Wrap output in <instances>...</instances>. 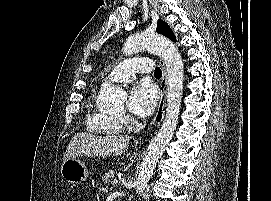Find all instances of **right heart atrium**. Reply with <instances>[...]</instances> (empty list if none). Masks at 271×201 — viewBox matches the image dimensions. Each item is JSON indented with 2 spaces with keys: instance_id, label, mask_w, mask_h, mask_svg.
Returning <instances> with one entry per match:
<instances>
[{
  "instance_id": "d8ad5b80",
  "label": "right heart atrium",
  "mask_w": 271,
  "mask_h": 201,
  "mask_svg": "<svg viewBox=\"0 0 271 201\" xmlns=\"http://www.w3.org/2000/svg\"><path fill=\"white\" fill-rule=\"evenodd\" d=\"M115 119L122 127L126 128L131 127L133 121L132 118L128 115H121Z\"/></svg>"
}]
</instances>
